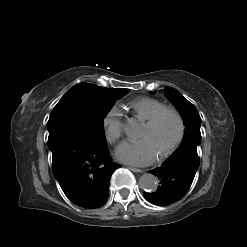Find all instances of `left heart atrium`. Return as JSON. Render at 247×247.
<instances>
[{"label":"left heart atrium","mask_w":247,"mask_h":247,"mask_svg":"<svg viewBox=\"0 0 247 247\" xmlns=\"http://www.w3.org/2000/svg\"><path fill=\"white\" fill-rule=\"evenodd\" d=\"M157 154L153 143L147 138L125 141L115 151L117 160L136 166L151 164L156 159Z\"/></svg>","instance_id":"39dd6f15"}]
</instances>
